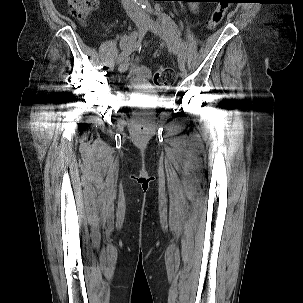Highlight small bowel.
<instances>
[{"mask_svg": "<svg viewBox=\"0 0 303 303\" xmlns=\"http://www.w3.org/2000/svg\"><path fill=\"white\" fill-rule=\"evenodd\" d=\"M192 10H195V7H192ZM132 71L134 72V74L136 75L138 81H142L144 79V77H146V75L148 74V70L143 67L140 66L138 64V59L136 58L132 64Z\"/></svg>", "mask_w": 303, "mask_h": 303, "instance_id": "obj_1", "label": "small bowel"}]
</instances>
